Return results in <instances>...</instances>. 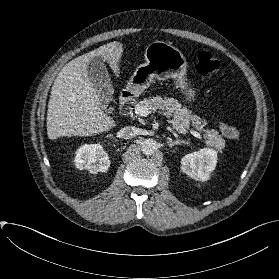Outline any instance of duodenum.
Wrapping results in <instances>:
<instances>
[{"label": "duodenum", "instance_id": "1", "mask_svg": "<svg viewBox=\"0 0 279 279\" xmlns=\"http://www.w3.org/2000/svg\"><path fill=\"white\" fill-rule=\"evenodd\" d=\"M130 100H131V94L127 91L122 92L120 99H119L120 107H123L124 105H126Z\"/></svg>", "mask_w": 279, "mask_h": 279}]
</instances>
